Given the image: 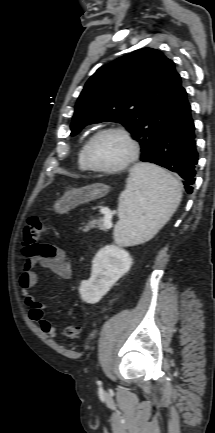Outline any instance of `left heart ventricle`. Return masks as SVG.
<instances>
[{"label": "left heart ventricle", "instance_id": "obj_1", "mask_svg": "<svg viewBox=\"0 0 215 433\" xmlns=\"http://www.w3.org/2000/svg\"><path fill=\"white\" fill-rule=\"evenodd\" d=\"M129 152V145L122 136L108 133L93 143L90 158L98 167H115L127 159Z\"/></svg>", "mask_w": 215, "mask_h": 433}]
</instances>
